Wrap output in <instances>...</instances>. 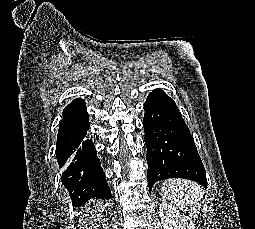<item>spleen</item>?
I'll return each instance as SVG.
<instances>
[{"mask_svg": "<svg viewBox=\"0 0 255 229\" xmlns=\"http://www.w3.org/2000/svg\"><path fill=\"white\" fill-rule=\"evenodd\" d=\"M161 195L170 205L188 211L193 218L198 217L203 199V190L198 183L184 179H168L162 184Z\"/></svg>", "mask_w": 255, "mask_h": 229, "instance_id": "1", "label": "spleen"}]
</instances>
